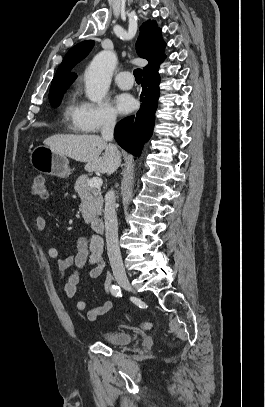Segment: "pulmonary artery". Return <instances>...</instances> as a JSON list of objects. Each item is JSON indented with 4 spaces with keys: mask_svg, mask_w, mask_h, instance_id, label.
Wrapping results in <instances>:
<instances>
[{
    "mask_svg": "<svg viewBox=\"0 0 265 407\" xmlns=\"http://www.w3.org/2000/svg\"><path fill=\"white\" fill-rule=\"evenodd\" d=\"M115 82L117 86L123 90L131 89L134 85V79L132 77V74L130 71L127 70L120 72L117 75Z\"/></svg>",
    "mask_w": 265,
    "mask_h": 407,
    "instance_id": "obj_1",
    "label": "pulmonary artery"
}]
</instances>
